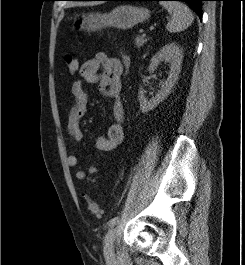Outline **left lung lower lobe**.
<instances>
[{"label":"left lung lower lobe","mask_w":245,"mask_h":265,"mask_svg":"<svg viewBox=\"0 0 245 265\" xmlns=\"http://www.w3.org/2000/svg\"><path fill=\"white\" fill-rule=\"evenodd\" d=\"M86 1H99V0H86ZM105 1H171V0H105ZM173 1V0H172ZM184 1L188 3L192 9L202 18V1L206 0H174Z\"/></svg>","instance_id":"obj_1"}]
</instances>
